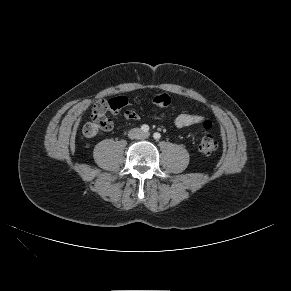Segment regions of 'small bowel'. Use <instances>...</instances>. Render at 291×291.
<instances>
[{
    "instance_id": "small-bowel-1",
    "label": "small bowel",
    "mask_w": 291,
    "mask_h": 291,
    "mask_svg": "<svg viewBox=\"0 0 291 291\" xmlns=\"http://www.w3.org/2000/svg\"><path fill=\"white\" fill-rule=\"evenodd\" d=\"M109 101H105V100L98 101L94 105L93 114L107 111L109 109ZM125 117L128 120H137L139 118L138 114L134 110H131V109H128L125 111ZM202 121H203L202 115L182 113V114H179L178 116H176V118L174 119V124L178 128L185 129V128H189L193 125L199 124Z\"/></svg>"
}]
</instances>
